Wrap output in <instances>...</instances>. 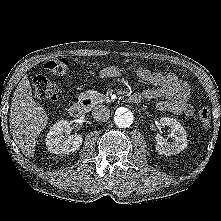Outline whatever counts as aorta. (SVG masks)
Instances as JSON below:
<instances>
[{"label": "aorta", "instance_id": "aorta-1", "mask_svg": "<svg viewBox=\"0 0 221 221\" xmlns=\"http://www.w3.org/2000/svg\"><path fill=\"white\" fill-rule=\"evenodd\" d=\"M114 122L119 128L130 127L134 122V115L127 108H119L116 111Z\"/></svg>", "mask_w": 221, "mask_h": 221}]
</instances>
